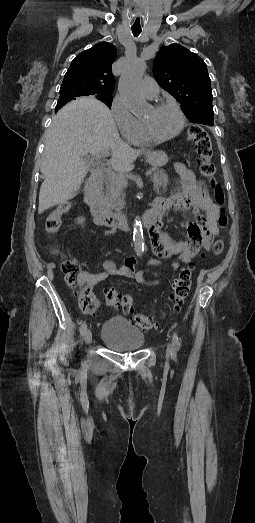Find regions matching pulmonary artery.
<instances>
[{
    "label": "pulmonary artery",
    "mask_w": 255,
    "mask_h": 523,
    "mask_svg": "<svg viewBox=\"0 0 255 523\" xmlns=\"http://www.w3.org/2000/svg\"><path fill=\"white\" fill-rule=\"evenodd\" d=\"M141 91L147 98H155L159 93L158 86L154 77L149 76L141 83Z\"/></svg>",
    "instance_id": "1"
}]
</instances>
